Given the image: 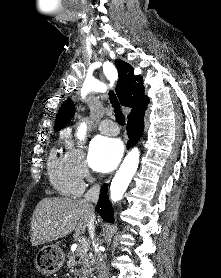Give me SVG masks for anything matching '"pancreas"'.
I'll return each mask as SVG.
<instances>
[{
	"mask_svg": "<svg viewBox=\"0 0 221 278\" xmlns=\"http://www.w3.org/2000/svg\"><path fill=\"white\" fill-rule=\"evenodd\" d=\"M92 257L88 253V250H81L78 248L75 253H68L67 265L71 269V272L75 275V278H90L92 277L93 262ZM77 265H82L81 269H76Z\"/></svg>",
	"mask_w": 221,
	"mask_h": 278,
	"instance_id": "obj_1",
	"label": "pancreas"
}]
</instances>
